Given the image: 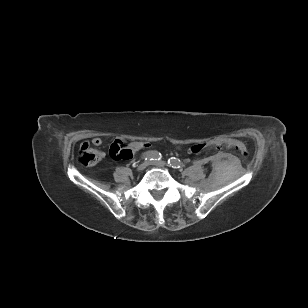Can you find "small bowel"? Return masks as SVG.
I'll return each mask as SVG.
<instances>
[{"mask_svg": "<svg viewBox=\"0 0 308 308\" xmlns=\"http://www.w3.org/2000/svg\"><path fill=\"white\" fill-rule=\"evenodd\" d=\"M103 143L102 139L100 137H95L93 140H92V144L94 146H101ZM115 144V142L113 143V145ZM147 147V146H146ZM142 148H145V147H141ZM136 151V150H135Z\"/></svg>", "mask_w": 308, "mask_h": 308, "instance_id": "small-bowel-1", "label": "small bowel"}]
</instances>
